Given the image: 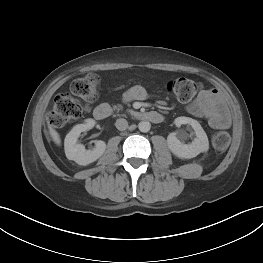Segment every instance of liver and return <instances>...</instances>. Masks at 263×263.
Segmentation results:
<instances>
[{"instance_id":"liver-1","label":"liver","mask_w":263,"mask_h":263,"mask_svg":"<svg viewBox=\"0 0 263 263\" xmlns=\"http://www.w3.org/2000/svg\"><path fill=\"white\" fill-rule=\"evenodd\" d=\"M49 133L54 143L59 146L61 144V139H60V135L58 134V132L49 126Z\"/></svg>"}]
</instances>
